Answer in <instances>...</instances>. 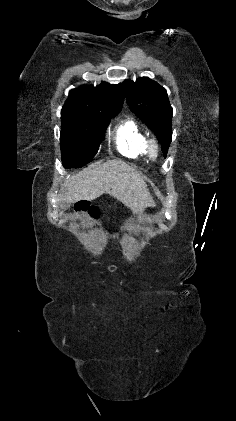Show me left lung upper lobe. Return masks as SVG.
Instances as JSON below:
<instances>
[{"label": "left lung upper lobe", "mask_w": 236, "mask_h": 421, "mask_svg": "<svg viewBox=\"0 0 236 421\" xmlns=\"http://www.w3.org/2000/svg\"><path fill=\"white\" fill-rule=\"evenodd\" d=\"M122 87L131 111L154 131L166 156L172 139L173 113L166 90L147 77L136 82L125 80Z\"/></svg>", "instance_id": "1"}]
</instances>
